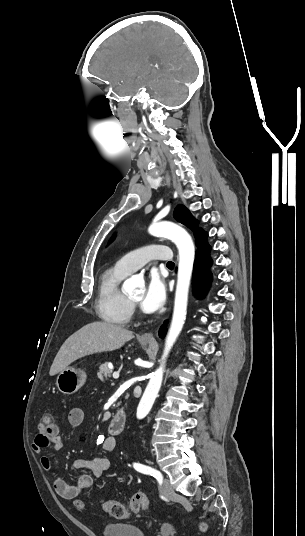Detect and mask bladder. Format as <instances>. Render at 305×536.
I'll list each match as a JSON object with an SVG mask.
<instances>
[{
    "instance_id": "31cf9c89",
    "label": "bladder",
    "mask_w": 305,
    "mask_h": 536,
    "mask_svg": "<svg viewBox=\"0 0 305 536\" xmlns=\"http://www.w3.org/2000/svg\"><path fill=\"white\" fill-rule=\"evenodd\" d=\"M101 536H147L140 528L130 521H116L103 523L101 527Z\"/></svg>"
}]
</instances>
